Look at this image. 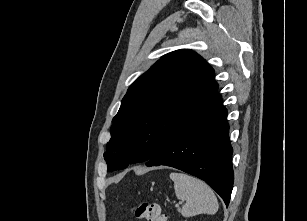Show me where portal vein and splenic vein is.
<instances>
[{
  "label": "portal vein and splenic vein",
  "instance_id": "portal-vein-and-splenic-vein-1",
  "mask_svg": "<svg viewBox=\"0 0 307 221\" xmlns=\"http://www.w3.org/2000/svg\"><path fill=\"white\" fill-rule=\"evenodd\" d=\"M180 204H182V202H179V203L177 204V206L180 205Z\"/></svg>",
  "mask_w": 307,
  "mask_h": 221
}]
</instances>
